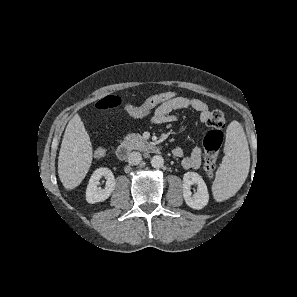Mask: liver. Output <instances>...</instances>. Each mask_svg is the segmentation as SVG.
Returning a JSON list of instances; mask_svg holds the SVG:
<instances>
[{
    "mask_svg": "<svg viewBox=\"0 0 297 297\" xmlns=\"http://www.w3.org/2000/svg\"><path fill=\"white\" fill-rule=\"evenodd\" d=\"M92 162L90 137L78 114L69 121L58 157V174L63 186L74 189L85 178Z\"/></svg>",
    "mask_w": 297,
    "mask_h": 297,
    "instance_id": "1",
    "label": "liver"
}]
</instances>
